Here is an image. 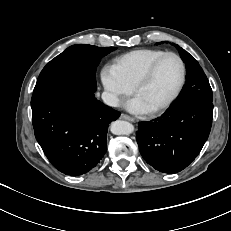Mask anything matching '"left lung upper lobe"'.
I'll return each instance as SVG.
<instances>
[{
    "label": "left lung upper lobe",
    "instance_id": "1",
    "mask_svg": "<svg viewBox=\"0 0 231 231\" xmlns=\"http://www.w3.org/2000/svg\"><path fill=\"white\" fill-rule=\"evenodd\" d=\"M172 45L178 49L182 60L186 64L187 72L186 84L184 85L182 92L174 103L188 100H203L212 102V89L205 73L198 64L197 60L178 45L174 43H172Z\"/></svg>",
    "mask_w": 231,
    "mask_h": 231
}]
</instances>
